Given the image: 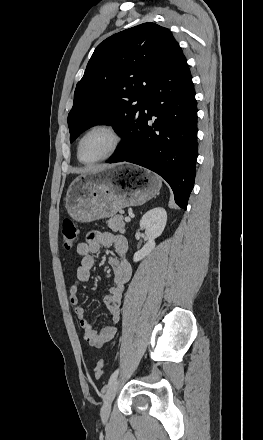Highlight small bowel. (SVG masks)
I'll list each match as a JSON object with an SVG mask.
<instances>
[{
	"label": "small bowel",
	"instance_id": "c3829d8e",
	"mask_svg": "<svg viewBox=\"0 0 263 440\" xmlns=\"http://www.w3.org/2000/svg\"><path fill=\"white\" fill-rule=\"evenodd\" d=\"M103 247H113L115 249V255L109 258V264L113 272L112 285L104 297V303L110 310L112 322L98 331L88 320L85 308L79 305V286L90 279L91 271L96 263L94 255ZM76 251L81 257V262L76 269L75 279L69 288V299L75 305V313L84 331L85 340L92 347L100 348L111 341L117 333V325L121 317V298L132 273L127 257L128 243L122 235L91 231L87 234L85 241L77 245Z\"/></svg>",
	"mask_w": 263,
	"mask_h": 440
}]
</instances>
